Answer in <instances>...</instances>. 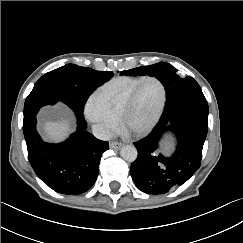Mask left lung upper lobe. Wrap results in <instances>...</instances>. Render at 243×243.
Returning <instances> with one entry per match:
<instances>
[{"instance_id":"obj_1","label":"left lung upper lobe","mask_w":243,"mask_h":243,"mask_svg":"<svg viewBox=\"0 0 243 243\" xmlns=\"http://www.w3.org/2000/svg\"><path fill=\"white\" fill-rule=\"evenodd\" d=\"M120 74L130 76L147 74L156 77L163 84L166 91L165 107L184 96L201 91L199 84L192 77H180L177 70L171 64L165 62L122 71Z\"/></svg>"}]
</instances>
